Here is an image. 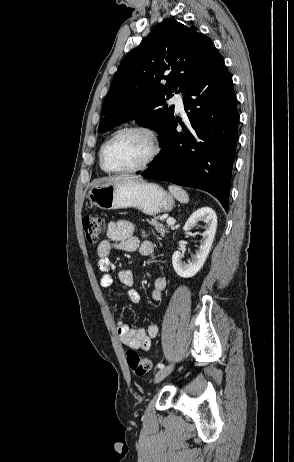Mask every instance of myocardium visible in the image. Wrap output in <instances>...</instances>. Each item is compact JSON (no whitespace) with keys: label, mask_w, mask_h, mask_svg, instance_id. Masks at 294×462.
Listing matches in <instances>:
<instances>
[{"label":"myocardium","mask_w":294,"mask_h":462,"mask_svg":"<svg viewBox=\"0 0 294 462\" xmlns=\"http://www.w3.org/2000/svg\"><path fill=\"white\" fill-rule=\"evenodd\" d=\"M126 132H138V133L145 135L148 138L149 143H150V147H151L150 153L146 157V159L137 166L125 168V169H109L105 164L106 149L109 146V144L112 143L118 136ZM160 151H161V147L159 143V138H158L157 133L153 129L147 126H143V125H128V126H124L118 129L117 131H115L102 145L100 149V154H99L100 166L105 172L113 173V174H125V173L139 172L149 167L156 160Z\"/></svg>","instance_id":"f54148a6"}]
</instances>
